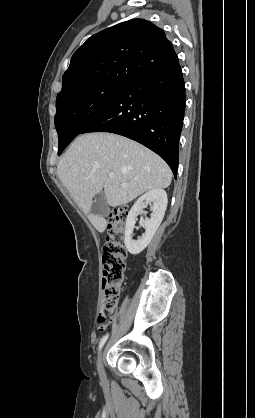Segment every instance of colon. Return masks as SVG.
I'll return each instance as SVG.
<instances>
[{"label":"colon","mask_w":255,"mask_h":418,"mask_svg":"<svg viewBox=\"0 0 255 418\" xmlns=\"http://www.w3.org/2000/svg\"><path fill=\"white\" fill-rule=\"evenodd\" d=\"M110 226L102 255V308L98 324L105 326L106 312H112L118 302L120 284L125 278L127 250L124 244V231L128 219V208L119 206L111 210Z\"/></svg>","instance_id":"1"}]
</instances>
